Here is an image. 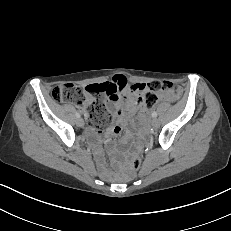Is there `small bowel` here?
<instances>
[{
	"label": "small bowel",
	"instance_id": "small-bowel-1",
	"mask_svg": "<svg viewBox=\"0 0 231 231\" xmlns=\"http://www.w3.org/2000/svg\"><path fill=\"white\" fill-rule=\"evenodd\" d=\"M106 88L104 99L108 102L109 109L116 115L115 124L108 130L106 137L100 135L96 126L90 125V133L97 137L103 143L106 140L115 141L122 129L126 126L128 120L123 117L126 110L131 115L138 113L139 117L147 114V108L143 103V94L145 86L139 83H130L124 75H115L110 81L99 83ZM176 95L164 94L160 96L162 102L173 100ZM89 100L88 98L86 99ZM80 106V105H79ZM84 110V106H80ZM85 111V110H84ZM87 115V113L85 112Z\"/></svg>",
	"mask_w": 231,
	"mask_h": 231
}]
</instances>
